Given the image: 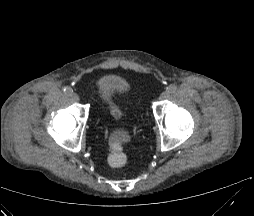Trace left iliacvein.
<instances>
[{
    "label": "left iliac vein",
    "mask_w": 254,
    "mask_h": 216,
    "mask_svg": "<svg viewBox=\"0 0 254 216\" xmlns=\"http://www.w3.org/2000/svg\"><path fill=\"white\" fill-rule=\"evenodd\" d=\"M168 97H169V92H168V91H164V92L161 93L159 99H160V100H165V99H167Z\"/></svg>",
    "instance_id": "1"
}]
</instances>
